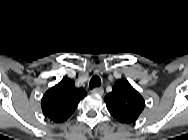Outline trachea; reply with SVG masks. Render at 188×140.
Instances as JSON below:
<instances>
[{
  "label": "trachea",
  "instance_id": "trachea-1",
  "mask_svg": "<svg viewBox=\"0 0 188 140\" xmlns=\"http://www.w3.org/2000/svg\"><path fill=\"white\" fill-rule=\"evenodd\" d=\"M101 85V79L98 76H93L89 83V88L99 87Z\"/></svg>",
  "mask_w": 188,
  "mask_h": 140
}]
</instances>
